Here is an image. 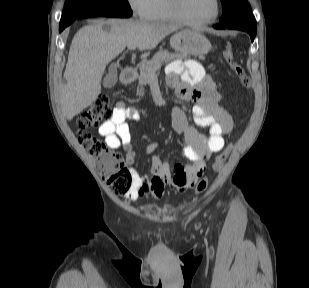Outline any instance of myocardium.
I'll return each mask as SVG.
<instances>
[{
  "instance_id": "myocardium-1",
  "label": "myocardium",
  "mask_w": 309,
  "mask_h": 288,
  "mask_svg": "<svg viewBox=\"0 0 309 288\" xmlns=\"http://www.w3.org/2000/svg\"><path fill=\"white\" fill-rule=\"evenodd\" d=\"M169 1H170V7L172 10L173 16L175 17L177 22L190 26V27H195V28L203 27V26L213 23L219 17L220 11H221L220 0H214L215 10L212 16H210L209 18L205 20L192 21L183 15L182 10H181V0H169Z\"/></svg>"
}]
</instances>
